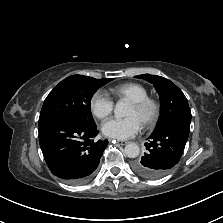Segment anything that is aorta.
I'll return each instance as SVG.
<instances>
[{
    "mask_svg": "<svg viewBox=\"0 0 223 223\" xmlns=\"http://www.w3.org/2000/svg\"><path fill=\"white\" fill-rule=\"evenodd\" d=\"M128 106L126 103L119 101L116 103L114 113L116 117H124L127 114ZM124 153L129 158H136L140 153V148L136 143H128L124 148Z\"/></svg>",
    "mask_w": 223,
    "mask_h": 223,
    "instance_id": "1",
    "label": "aorta"
}]
</instances>
